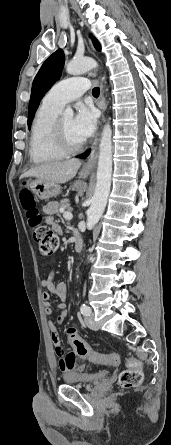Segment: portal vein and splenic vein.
<instances>
[{"instance_id":"portal-vein-and-splenic-vein-1","label":"portal vein and splenic vein","mask_w":171,"mask_h":445,"mask_svg":"<svg viewBox=\"0 0 171 445\" xmlns=\"http://www.w3.org/2000/svg\"><path fill=\"white\" fill-rule=\"evenodd\" d=\"M61 212L66 220H71L73 218V215L70 212L64 211L63 209H61Z\"/></svg>"}]
</instances>
